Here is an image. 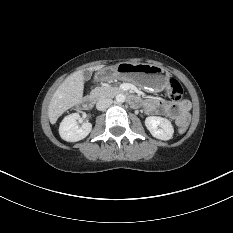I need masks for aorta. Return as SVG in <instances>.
Returning a JSON list of instances; mask_svg holds the SVG:
<instances>
[{"mask_svg":"<svg viewBox=\"0 0 233 233\" xmlns=\"http://www.w3.org/2000/svg\"><path fill=\"white\" fill-rule=\"evenodd\" d=\"M125 99H126V97H125V95H123V94H118V95L116 96V101H117L118 103H123V102H125Z\"/></svg>","mask_w":233,"mask_h":233,"instance_id":"obj_1","label":"aorta"}]
</instances>
